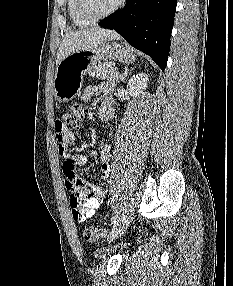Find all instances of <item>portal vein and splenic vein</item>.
Returning a JSON list of instances; mask_svg holds the SVG:
<instances>
[{
  "label": "portal vein and splenic vein",
  "mask_w": 233,
  "mask_h": 286,
  "mask_svg": "<svg viewBox=\"0 0 233 286\" xmlns=\"http://www.w3.org/2000/svg\"><path fill=\"white\" fill-rule=\"evenodd\" d=\"M114 75L118 77V72H114Z\"/></svg>",
  "instance_id": "obj_1"
}]
</instances>
